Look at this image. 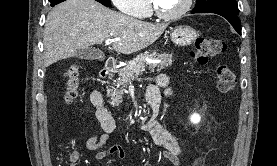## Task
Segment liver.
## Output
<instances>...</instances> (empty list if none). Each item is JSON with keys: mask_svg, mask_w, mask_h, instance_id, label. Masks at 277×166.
Wrapping results in <instances>:
<instances>
[{"mask_svg": "<svg viewBox=\"0 0 277 166\" xmlns=\"http://www.w3.org/2000/svg\"><path fill=\"white\" fill-rule=\"evenodd\" d=\"M167 26L129 17L95 0H66L48 13L43 64L48 67L107 39H119L113 42L115 51L135 53L154 43Z\"/></svg>", "mask_w": 277, "mask_h": 166, "instance_id": "liver-1", "label": "liver"}]
</instances>
